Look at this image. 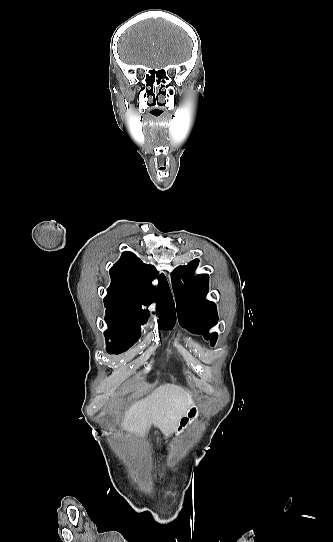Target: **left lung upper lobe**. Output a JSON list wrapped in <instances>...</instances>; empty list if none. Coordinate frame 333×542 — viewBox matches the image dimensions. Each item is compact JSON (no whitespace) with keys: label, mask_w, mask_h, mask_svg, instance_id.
<instances>
[{"label":"left lung upper lobe","mask_w":333,"mask_h":542,"mask_svg":"<svg viewBox=\"0 0 333 542\" xmlns=\"http://www.w3.org/2000/svg\"><path fill=\"white\" fill-rule=\"evenodd\" d=\"M197 264L198 260L195 259L186 266H179L174 271L173 280L176 285L173 290L178 318L182 327L192 333L203 334L204 337L210 339L211 345H214L217 334H209L208 330L218 321L216 305L213 302H203L209 288L208 275L202 274L194 279L191 278ZM179 277L184 280V285L179 283Z\"/></svg>","instance_id":"left-lung-upper-lobe-1"}]
</instances>
